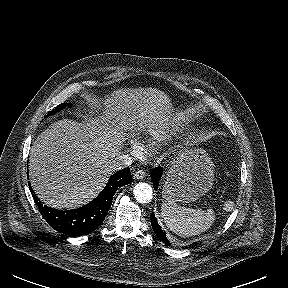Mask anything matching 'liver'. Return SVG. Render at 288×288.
I'll return each instance as SVG.
<instances>
[{
	"label": "liver",
	"instance_id": "obj_1",
	"mask_svg": "<svg viewBox=\"0 0 288 288\" xmlns=\"http://www.w3.org/2000/svg\"><path fill=\"white\" fill-rule=\"evenodd\" d=\"M83 123L59 120L34 141L29 178L37 197L55 209L87 204L105 187L126 132L154 135L174 124L168 96L156 88L118 89L91 103Z\"/></svg>",
	"mask_w": 288,
	"mask_h": 288
}]
</instances>
